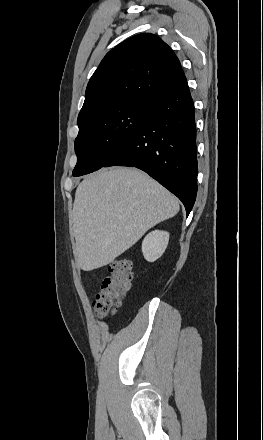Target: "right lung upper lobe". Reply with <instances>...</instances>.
<instances>
[{
  "instance_id": "obj_1",
  "label": "right lung upper lobe",
  "mask_w": 263,
  "mask_h": 440,
  "mask_svg": "<svg viewBox=\"0 0 263 440\" xmlns=\"http://www.w3.org/2000/svg\"><path fill=\"white\" fill-rule=\"evenodd\" d=\"M179 59L159 37L143 33L109 51L87 85L77 124L104 110L150 103L185 83Z\"/></svg>"
}]
</instances>
